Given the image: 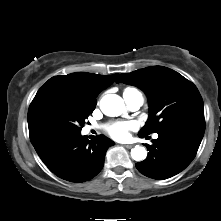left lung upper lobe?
Segmentation results:
<instances>
[{"label": "left lung upper lobe", "instance_id": "left-lung-upper-lobe-1", "mask_svg": "<svg viewBox=\"0 0 221 221\" xmlns=\"http://www.w3.org/2000/svg\"><path fill=\"white\" fill-rule=\"evenodd\" d=\"M119 82L138 86L147 94L150 116L139 132L141 136L180 123H205L203 100L198 89L172 69L152 66L122 73L117 79Z\"/></svg>", "mask_w": 221, "mask_h": 221}]
</instances>
